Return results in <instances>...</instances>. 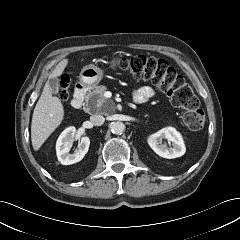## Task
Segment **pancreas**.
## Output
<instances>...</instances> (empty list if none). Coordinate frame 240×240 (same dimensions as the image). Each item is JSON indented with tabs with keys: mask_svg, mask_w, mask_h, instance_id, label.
<instances>
[{
	"mask_svg": "<svg viewBox=\"0 0 240 240\" xmlns=\"http://www.w3.org/2000/svg\"><path fill=\"white\" fill-rule=\"evenodd\" d=\"M107 88L103 85L93 87V90L90 91L86 96V111H93L97 113H106L107 106L114 108L113 101L106 99L104 93Z\"/></svg>",
	"mask_w": 240,
	"mask_h": 240,
	"instance_id": "obj_1",
	"label": "pancreas"
}]
</instances>
